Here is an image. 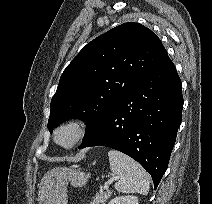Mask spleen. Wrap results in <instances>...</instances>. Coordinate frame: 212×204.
Wrapping results in <instances>:
<instances>
[{"label":"spleen","instance_id":"3e777b00","mask_svg":"<svg viewBox=\"0 0 212 204\" xmlns=\"http://www.w3.org/2000/svg\"><path fill=\"white\" fill-rule=\"evenodd\" d=\"M111 171L118 176L115 189L121 193H140L147 195L150 184L147 172L135 160L116 151L108 152Z\"/></svg>","mask_w":212,"mask_h":204}]
</instances>
